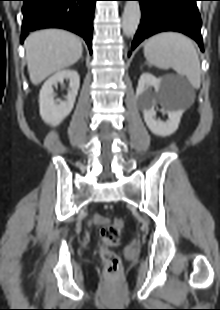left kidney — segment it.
<instances>
[{
	"instance_id": "1",
	"label": "left kidney",
	"mask_w": 220,
	"mask_h": 310,
	"mask_svg": "<svg viewBox=\"0 0 220 310\" xmlns=\"http://www.w3.org/2000/svg\"><path fill=\"white\" fill-rule=\"evenodd\" d=\"M153 86L155 96H151L147 89ZM169 92V83L166 79L156 78L150 73H143L138 81L136 96L143 110L144 120L150 131L158 136L166 137L173 134L179 126L183 110L167 108L168 120L163 122L156 120L154 105L157 101H164Z\"/></svg>"
}]
</instances>
